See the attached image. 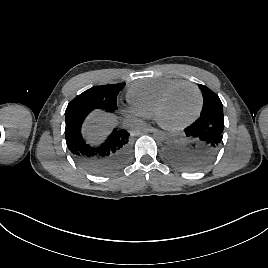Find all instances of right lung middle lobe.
<instances>
[{
  "label": "right lung middle lobe",
  "mask_w": 268,
  "mask_h": 268,
  "mask_svg": "<svg viewBox=\"0 0 268 268\" xmlns=\"http://www.w3.org/2000/svg\"><path fill=\"white\" fill-rule=\"evenodd\" d=\"M124 85L125 83H118L92 87L76 96L68 104L67 108L84 103L104 109L116 110V98Z\"/></svg>",
  "instance_id": "right-lung-middle-lobe-1"
}]
</instances>
